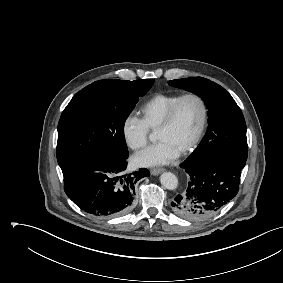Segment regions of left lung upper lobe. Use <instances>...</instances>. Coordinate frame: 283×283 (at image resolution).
<instances>
[{
  "instance_id": "1",
  "label": "left lung upper lobe",
  "mask_w": 283,
  "mask_h": 283,
  "mask_svg": "<svg viewBox=\"0 0 283 283\" xmlns=\"http://www.w3.org/2000/svg\"><path fill=\"white\" fill-rule=\"evenodd\" d=\"M168 83L198 95L209 110L207 132L186 163L193 164L213 157L247 160L244 116L223 87L203 77L175 79Z\"/></svg>"
}]
</instances>
